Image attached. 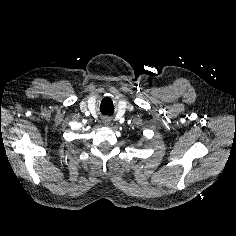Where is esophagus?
<instances>
[{"label":"esophagus","instance_id":"1","mask_svg":"<svg viewBox=\"0 0 236 236\" xmlns=\"http://www.w3.org/2000/svg\"><path fill=\"white\" fill-rule=\"evenodd\" d=\"M106 121H107V120H106ZM106 121H105L104 123L107 125V124H108V122H106Z\"/></svg>","mask_w":236,"mask_h":236}]
</instances>
